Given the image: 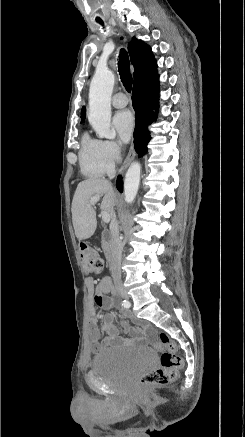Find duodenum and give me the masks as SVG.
<instances>
[{
    "label": "duodenum",
    "instance_id": "1",
    "mask_svg": "<svg viewBox=\"0 0 245 437\" xmlns=\"http://www.w3.org/2000/svg\"><path fill=\"white\" fill-rule=\"evenodd\" d=\"M111 234L108 231L102 233L103 253L107 261L112 258V252L110 248Z\"/></svg>",
    "mask_w": 245,
    "mask_h": 437
}]
</instances>
